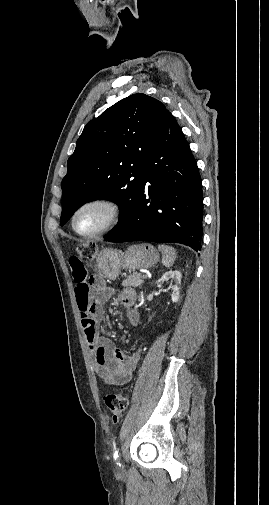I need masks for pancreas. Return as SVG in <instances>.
<instances>
[{
	"instance_id": "obj_1",
	"label": "pancreas",
	"mask_w": 269,
	"mask_h": 505,
	"mask_svg": "<svg viewBox=\"0 0 269 505\" xmlns=\"http://www.w3.org/2000/svg\"><path fill=\"white\" fill-rule=\"evenodd\" d=\"M143 282L144 281L141 278V274L136 272V273H133V274L127 276L126 279L123 280L122 286L136 288V287H141Z\"/></svg>"
}]
</instances>
